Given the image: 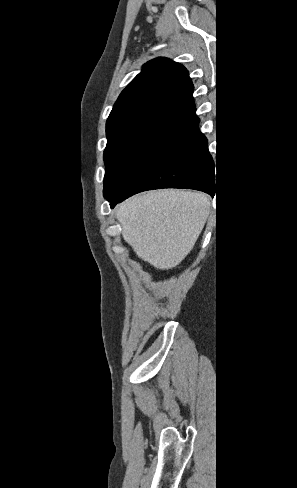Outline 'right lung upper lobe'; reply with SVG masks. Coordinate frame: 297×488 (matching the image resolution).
<instances>
[{
  "label": "right lung upper lobe",
  "mask_w": 297,
  "mask_h": 488,
  "mask_svg": "<svg viewBox=\"0 0 297 488\" xmlns=\"http://www.w3.org/2000/svg\"><path fill=\"white\" fill-rule=\"evenodd\" d=\"M122 91L106 122V135L133 130L179 131L195 120L194 86L188 71L165 58L147 62Z\"/></svg>",
  "instance_id": "cb5924a9"
}]
</instances>
